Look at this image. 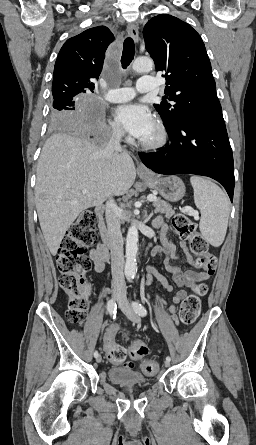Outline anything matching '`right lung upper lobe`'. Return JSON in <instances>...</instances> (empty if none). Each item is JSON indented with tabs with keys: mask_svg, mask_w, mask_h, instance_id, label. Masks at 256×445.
I'll list each match as a JSON object with an SVG mask.
<instances>
[{
	"mask_svg": "<svg viewBox=\"0 0 256 445\" xmlns=\"http://www.w3.org/2000/svg\"><path fill=\"white\" fill-rule=\"evenodd\" d=\"M114 35L105 26L90 28L68 39L58 54L53 73L52 94L66 91L93 92L105 51Z\"/></svg>",
	"mask_w": 256,
	"mask_h": 445,
	"instance_id": "right-lung-upper-lobe-1",
	"label": "right lung upper lobe"
}]
</instances>
